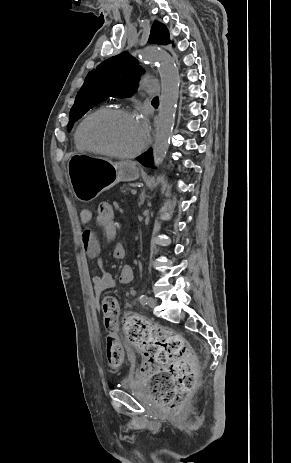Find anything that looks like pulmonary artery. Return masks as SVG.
Returning a JSON list of instances; mask_svg holds the SVG:
<instances>
[{
    "label": "pulmonary artery",
    "mask_w": 291,
    "mask_h": 463,
    "mask_svg": "<svg viewBox=\"0 0 291 463\" xmlns=\"http://www.w3.org/2000/svg\"><path fill=\"white\" fill-rule=\"evenodd\" d=\"M141 86L150 96H158L160 93V88L157 81L151 76L143 77L141 80Z\"/></svg>",
    "instance_id": "obj_1"
}]
</instances>
